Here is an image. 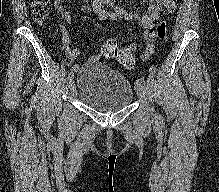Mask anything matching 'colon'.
<instances>
[{
  "instance_id": "1",
  "label": "colon",
  "mask_w": 219,
  "mask_h": 192,
  "mask_svg": "<svg viewBox=\"0 0 219 192\" xmlns=\"http://www.w3.org/2000/svg\"><path fill=\"white\" fill-rule=\"evenodd\" d=\"M31 13L39 22H45L50 15V0H32L30 3ZM168 24L160 22L152 33L153 39L147 43L146 51L153 52L157 41L166 38ZM135 46L121 47L117 40L109 39L101 47V55L105 58L115 59L126 68H130L135 63Z\"/></svg>"
}]
</instances>
